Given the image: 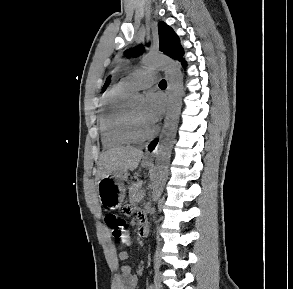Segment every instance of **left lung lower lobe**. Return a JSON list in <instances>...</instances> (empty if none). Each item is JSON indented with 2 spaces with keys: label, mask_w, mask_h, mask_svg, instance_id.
Wrapping results in <instances>:
<instances>
[{
  "label": "left lung lower lobe",
  "mask_w": 293,
  "mask_h": 289,
  "mask_svg": "<svg viewBox=\"0 0 293 289\" xmlns=\"http://www.w3.org/2000/svg\"><path fill=\"white\" fill-rule=\"evenodd\" d=\"M182 66H183V67H186V62H183V63H182Z\"/></svg>",
  "instance_id": "obj_1"
}]
</instances>
